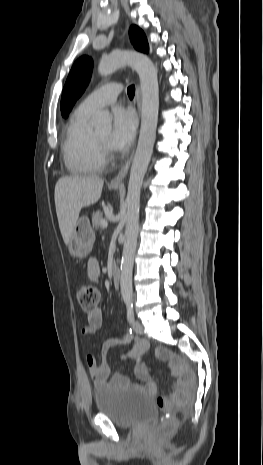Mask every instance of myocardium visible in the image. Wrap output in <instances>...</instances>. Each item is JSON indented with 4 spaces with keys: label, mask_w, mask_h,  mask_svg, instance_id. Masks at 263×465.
I'll use <instances>...</instances> for the list:
<instances>
[{
    "label": "myocardium",
    "mask_w": 263,
    "mask_h": 465,
    "mask_svg": "<svg viewBox=\"0 0 263 465\" xmlns=\"http://www.w3.org/2000/svg\"><path fill=\"white\" fill-rule=\"evenodd\" d=\"M95 141H96V143H97L99 149L101 150L103 156H104V155H108L109 152H110L109 147H108V144H106V143L100 141L97 137H95Z\"/></svg>",
    "instance_id": "obj_1"
}]
</instances>
